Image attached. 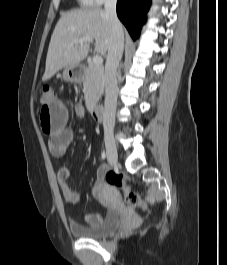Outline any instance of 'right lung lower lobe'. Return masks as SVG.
<instances>
[{
	"label": "right lung lower lobe",
	"mask_w": 227,
	"mask_h": 265,
	"mask_svg": "<svg viewBox=\"0 0 227 265\" xmlns=\"http://www.w3.org/2000/svg\"><path fill=\"white\" fill-rule=\"evenodd\" d=\"M151 0H118L117 15L126 26L133 39L138 37L146 21Z\"/></svg>",
	"instance_id": "1"
}]
</instances>
